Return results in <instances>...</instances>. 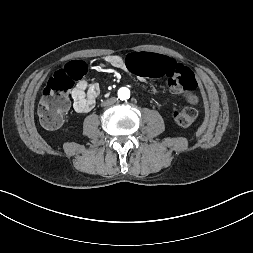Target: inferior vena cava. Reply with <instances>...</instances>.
<instances>
[{"mask_svg":"<svg viewBox=\"0 0 253 253\" xmlns=\"http://www.w3.org/2000/svg\"><path fill=\"white\" fill-rule=\"evenodd\" d=\"M116 102L115 98H110L104 102V105L108 106Z\"/></svg>","mask_w":253,"mask_h":253,"instance_id":"602c4592","label":"inferior vena cava"}]
</instances>
